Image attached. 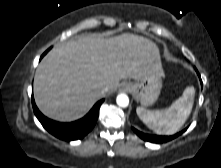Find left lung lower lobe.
<instances>
[{
    "mask_svg": "<svg viewBox=\"0 0 221 168\" xmlns=\"http://www.w3.org/2000/svg\"><path fill=\"white\" fill-rule=\"evenodd\" d=\"M199 75V74H198ZM201 80V79H200ZM202 83V81H201ZM132 130L141 138L143 139L144 141H148V142H151V143H165V142H168L176 137H178L179 135H181L185 130L179 132V133H176L175 135H172V136H159V135H151V134H146V133H143V132H140L138 131L137 129L135 128H132Z\"/></svg>",
    "mask_w": 221,
    "mask_h": 168,
    "instance_id": "1",
    "label": "left lung lower lobe"
}]
</instances>
